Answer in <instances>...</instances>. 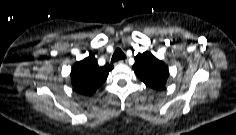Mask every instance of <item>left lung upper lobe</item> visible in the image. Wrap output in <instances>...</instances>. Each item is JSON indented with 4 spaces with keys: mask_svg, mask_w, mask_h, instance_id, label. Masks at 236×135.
I'll use <instances>...</instances> for the list:
<instances>
[{
    "mask_svg": "<svg viewBox=\"0 0 236 135\" xmlns=\"http://www.w3.org/2000/svg\"><path fill=\"white\" fill-rule=\"evenodd\" d=\"M133 70L146 86L156 90L164 89L169 76L165 63L148 51L135 57Z\"/></svg>",
    "mask_w": 236,
    "mask_h": 135,
    "instance_id": "obj_1",
    "label": "left lung upper lobe"
}]
</instances>
